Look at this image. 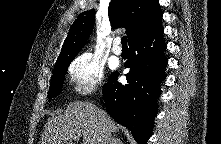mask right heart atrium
<instances>
[{
    "label": "right heart atrium",
    "mask_w": 221,
    "mask_h": 144,
    "mask_svg": "<svg viewBox=\"0 0 221 144\" xmlns=\"http://www.w3.org/2000/svg\"><path fill=\"white\" fill-rule=\"evenodd\" d=\"M69 75L78 95L86 96L103 84L104 67L90 54H81L69 66Z\"/></svg>",
    "instance_id": "d8ad5b80"
}]
</instances>
